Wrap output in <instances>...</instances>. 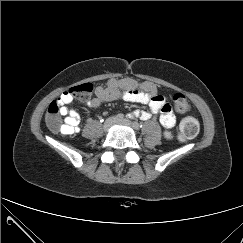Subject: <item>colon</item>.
I'll return each mask as SVG.
<instances>
[{
    "label": "colon",
    "instance_id": "obj_1",
    "mask_svg": "<svg viewBox=\"0 0 243 243\" xmlns=\"http://www.w3.org/2000/svg\"><path fill=\"white\" fill-rule=\"evenodd\" d=\"M93 91V85L91 83H84L72 88L69 92L75 97L87 98ZM60 108L59 101L54 100L48 107L46 113L47 126L54 132L61 131L60 121ZM169 108L171 109L170 105ZM173 110L177 114H186L190 110V103L185 95L177 93L173 96ZM199 132V122L196 118L188 116L185 117L180 125V138L182 140H190L197 136ZM167 137H170V133H166Z\"/></svg>",
    "mask_w": 243,
    "mask_h": 243
}]
</instances>
